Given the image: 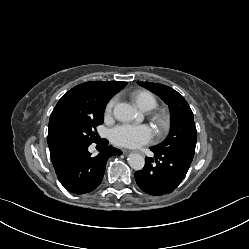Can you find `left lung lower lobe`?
<instances>
[{"instance_id": "0a47b994", "label": "left lung lower lobe", "mask_w": 249, "mask_h": 249, "mask_svg": "<svg viewBox=\"0 0 249 249\" xmlns=\"http://www.w3.org/2000/svg\"><path fill=\"white\" fill-rule=\"evenodd\" d=\"M154 158L145 159V166L135 173L138 186L150 195L171 193L185 177L193 156L150 148Z\"/></svg>"}]
</instances>
